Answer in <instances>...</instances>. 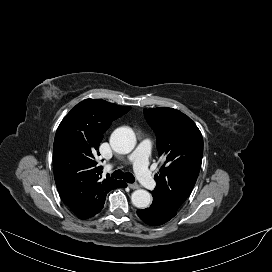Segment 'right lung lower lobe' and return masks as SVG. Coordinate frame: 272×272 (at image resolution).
<instances>
[{"instance_id":"right-lung-lower-lobe-1","label":"right lung lower lobe","mask_w":272,"mask_h":272,"mask_svg":"<svg viewBox=\"0 0 272 272\" xmlns=\"http://www.w3.org/2000/svg\"><path fill=\"white\" fill-rule=\"evenodd\" d=\"M127 184L123 181H117L116 188H125Z\"/></svg>"}]
</instances>
